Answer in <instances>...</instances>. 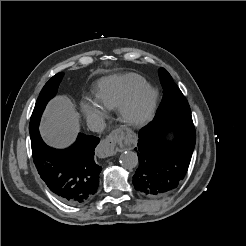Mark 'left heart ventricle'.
Instances as JSON below:
<instances>
[{"instance_id":"1","label":"left heart ventricle","mask_w":246,"mask_h":246,"mask_svg":"<svg viewBox=\"0 0 246 246\" xmlns=\"http://www.w3.org/2000/svg\"><path fill=\"white\" fill-rule=\"evenodd\" d=\"M143 107H144V103H143V102H140V103H138V105L136 106L135 111H136V112H140V111L143 109Z\"/></svg>"}]
</instances>
